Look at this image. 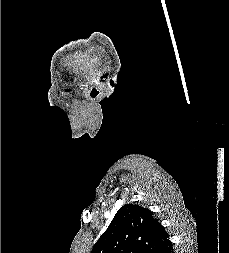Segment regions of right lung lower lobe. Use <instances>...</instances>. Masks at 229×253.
Masks as SVG:
<instances>
[{"label": "right lung lower lobe", "mask_w": 229, "mask_h": 253, "mask_svg": "<svg viewBox=\"0 0 229 253\" xmlns=\"http://www.w3.org/2000/svg\"><path fill=\"white\" fill-rule=\"evenodd\" d=\"M160 253H174L172 242H170Z\"/></svg>", "instance_id": "1"}]
</instances>
